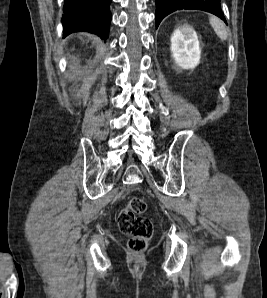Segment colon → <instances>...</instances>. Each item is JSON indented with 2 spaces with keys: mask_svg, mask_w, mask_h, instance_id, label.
<instances>
[{
  "mask_svg": "<svg viewBox=\"0 0 267 298\" xmlns=\"http://www.w3.org/2000/svg\"><path fill=\"white\" fill-rule=\"evenodd\" d=\"M146 202L139 197L130 198L117 216L120 231L129 237L128 248L133 253H142L153 234L152 221L143 214Z\"/></svg>",
  "mask_w": 267,
  "mask_h": 298,
  "instance_id": "1",
  "label": "colon"
}]
</instances>
